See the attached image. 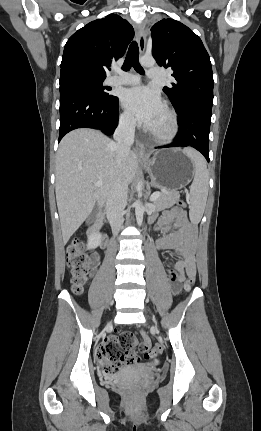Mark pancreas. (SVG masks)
<instances>
[{
	"mask_svg": "<svg viewBox=\"0 0 261 431\" xmlns=\"http://www.w3.org/2000/svg\"><path fill=\"white\" fill-rule=\"evenodd\" d=\"M180 198V194L175 190H167L160 193V196L153 202L157 210H164L172 207Z\"/></svg>",
	"mask_w": 261,
	"mask_h": 431,
	"instance_id": "1",
	"label": "pancreas"
}]
</instances>
